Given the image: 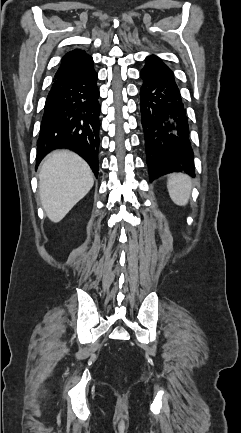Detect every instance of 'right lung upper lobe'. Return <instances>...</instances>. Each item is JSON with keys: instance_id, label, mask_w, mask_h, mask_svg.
Returning a JSON list of instances; mask_svg holds the SVG:
<instances>
[{"instance_id": "cb5924a9", "label": "right lung upper lobe", "mask_w": 241, "mask_h": 433, "mask_svg": "<svg viewBox=\"0 0 241 433\" xmlns=\"http://www.w3.org/2000/svg\"><path fill=\"white\" fill-rule=\"evenodd\" d=\"M91 62H93L92 57L84 51L79 49L70 51L62 58L54 79L62 78Z\"/></svg>"}]
</instances>
